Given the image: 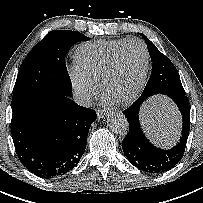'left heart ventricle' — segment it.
Masks as SVG:
<instances>
[{
  "label": "left heart ventricle",
  "instance_id": "obj_1",
  "mask_svg": "<svg viewBox=\"0 0 203 203\" xmlns=\"http://www.w3.org/2000/svg\"><path fill=\"white\" fill-rule=\"evenodd\" d=\"M145 64V54L138 43L127 45L108 83V96L117 100L127 97L137 86Z\"/></svg>",
  "mask_w": 203,
  "mask_h": 203
}]
</instances>
